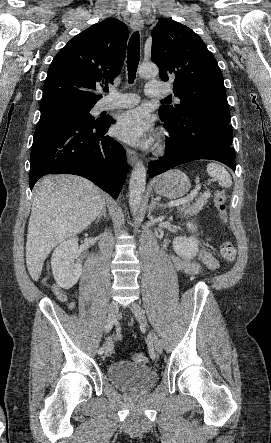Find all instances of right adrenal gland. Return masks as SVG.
Instances as JSON below:
<instances>
[{
  "label": "right adrenal gland",
  "mask_w": 271,
  "mask_h": 443,
  "mask_svg": "<svg viewBox=\"0 0 271 443\" xmlns=\"http://www.w3.org/2000/svg\"><path fill=\"white\" fill-rule=\"evenodd\" d=\"M101 218H107V214H106V204H104L99 216H97V220H95V223L100 222Z\"/></svg>",
  "instance_id": "1"
}]
</instances>
